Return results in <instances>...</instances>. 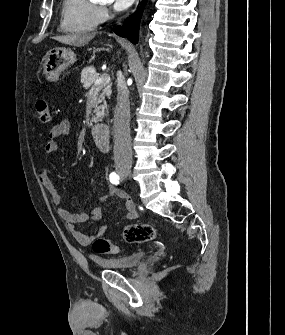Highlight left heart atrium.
<instances>
[{
    "instance_id": "obj_1",
    "label": "left heart atrium",
    "mask_w": 285,
    "mask_h": 335,
    "mask_svg": "<svg viewBox=\"0 0 285 335\" xmlns=\"http://www.w3.org/2000/svg\"><path fill=\"white\" fill-rule=\"evenodd\" d=\"M114 3V7L118 11L125 10L128 8L133 1H112Z\"/></svg>"
}]
</instances>
